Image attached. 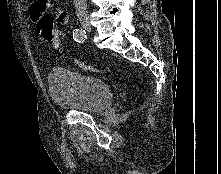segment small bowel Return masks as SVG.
<instances>
[{
    "label": "small bowel",
    "instance_id": "c3829d8e",
    "mask_svg": "<svg viewBox=\"0 0 221 174\" xmlns=\"http://www.w3.org/2000/svg\"><path fill=\"white\" fill-rule=\"evenodd\" d=\"M28 2L30 17L36 25L42 16L50 15L49 13L55 17L60 25L68 24V13L61 8L55 7L51 0H28Z\"/></svg>",
    "mask_w": 221,
    "mask_h": 174
}]
</instances>
